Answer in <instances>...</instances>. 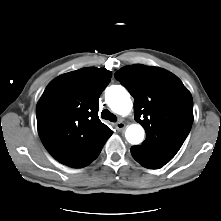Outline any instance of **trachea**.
Instances as JSON below:
<instances>
[{
  "label": "trachea",
  "instance_id": "3493384b",
  "mask_svg": "<svg viewBox=\"0 0 221 221\" xmlns=\"http://www.w3.org/2000/svg\"><path fill=\"white\" fill-rule=\"evenodd\" d=\"M101 117L105 120H109L111 122H116L117 121V117L111 113L109 110L107 109H104L102 112H101Z\"/></svg>",
  "mask_w": 221,
  "mask_h": 221
}]
</instances>
